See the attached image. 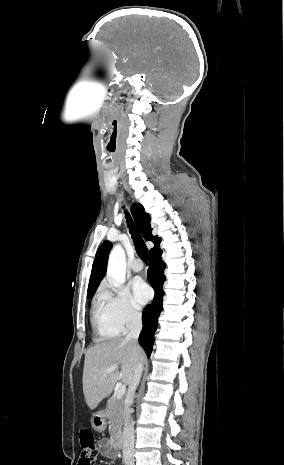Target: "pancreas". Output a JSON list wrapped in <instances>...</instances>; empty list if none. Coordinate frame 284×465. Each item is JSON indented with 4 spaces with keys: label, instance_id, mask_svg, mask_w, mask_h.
I'll return each instance as SVG.
<instances>
[{
    "label": "pancreas",
    "instance_id": "1",
    "mask_svg": "<svg viewBox=\"0 0 284 465\" xmlns=\"http://www.w3.org/2000/svg\"><path fill=\"white\" fill-rule=\"evenodd\" d=\"M124 403L121 399H116V397H111L109 403L106 407L105 417L109 419L111 431V441L115 443L118 435L121 433L124 417Z\"/></svg>",
    "mask_w": 284,
    "mask_h": 465
}]
</instances>
